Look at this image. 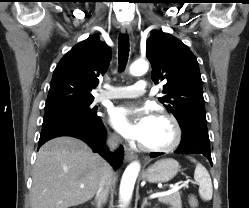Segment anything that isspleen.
<instances>
[{
	"mask_svg": "<svg viewBox=\"0 0 249 208\" xmlns=\"http://www.w3.org/2000/svg\"><path fill=\"white\" fill-rule=\"evenodd\" d=\"M192 161L195 162L194 159ZM194 179L199 185L200 197L205 201L211 200L213 195L211 178L206 168L200 163L196 164Z\"/></svg>",
	"mask_w": 249,
	"mask_h": 208,
	"instance_id": "obj_1",
	"label": "spleen"
}]
</instances>
